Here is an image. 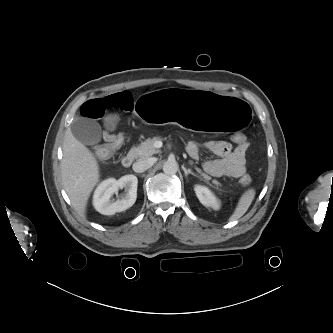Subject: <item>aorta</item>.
Returning <instances> with one entry per match:
<instances>
[{"instance_id": "obj_1", "label": "aorta", "mask_w": 333, "mask_h": 333, "mask_svg": "<svg viewBox=\"0 0 333 333\" xmlns=\"http://www.w3.org/2000/svg\"><path fill=\"white\" fill-rule=\"evenodd\" d=\"M178 170L177 163L174 161H166L163 165V171L165 174L172 175Z\"/></svg>"}]
</instances>
